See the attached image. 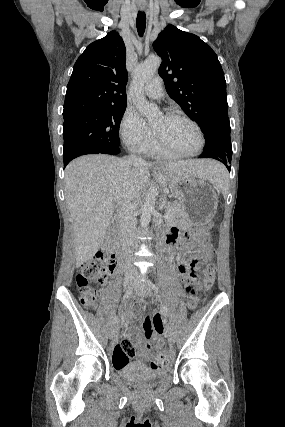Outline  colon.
<instances>
[{
    "instance_id": "obj_1",
    "label": "colon",
    "mask_w": 285,
    "mask_h": 427,
    "mask_svg": "<svg viewBox=\"0 0 285 427\" xmlns=\"http://www.w3.org/2000/svg\"><path fill=\"white\" fill-rule=\"evenodd\" d=\"M198 186H201L199 184ZM208 230H213V225H208ZM186 240L190 246V252L192 255L196 251H205L208 248L207 236L200 230L192 229L186 233ZM201 267L196 261L188 265L182 266V271L187 275V291L186 296L189 301H195L197 293L204 286L206 290L210 289L215 276V266L213 263H209L203 268L205 278L203 282L196 281L191 282L189 275L190 271ZM110 268L109 261L104 257H97L82 263L79 266V272L76 277V283L79 289L80 301L83 305L88 307H94L96 302V296L98 288L104 285L107 280L108 270ZM118 348L126 356H131L135 352L134 345L130 339H122L118 343ZM169 358L165 353L158 354L152 361L151 365L154 369L164 368L168 365Z\"/></svg>"
}]
</instances>
